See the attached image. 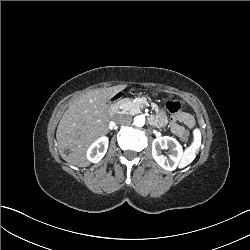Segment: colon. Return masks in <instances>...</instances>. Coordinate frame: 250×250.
<instances>
[{"instance_id":"5ec220e1","label":"colon","mask_w":250,"mask_h":250,"mask_svg":"<svg viewBox=\"0 0 250 250\" xmlns=\"http://www.w3.org/2000/svg\"><path fill=\"white\" fill-rule=\"evenodd\" d=\"M166 110L171 113L172 115H175L176 117H179V119L184 122L185 124L192 126L193 125V119L186 113L181 112L182 105L178 101H168L165 104ZM190 132L185 130L180 135V140L183 142H188L190 139Z\"/></svg>"}]
</instances>
